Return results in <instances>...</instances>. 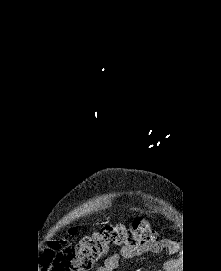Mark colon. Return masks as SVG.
<instances>
[{"label": "colon", "instance_id": "colon-1", "mask_svg": "<svg viewBox=\"0 0 221 271\" xmlns=\"http://www.w3.org/2000/svg\"><path fill=\"white\" fill-rule=\"evenodd\" d=\"M157 237L155 228L146 219L138 217L131 224H105L76 244L52 242L43 250L39 261L44 271H92L113 248L134 250L155 242Z\"/></svg>", "mask_w": 221, "mask_h": 271}]
</instances>
